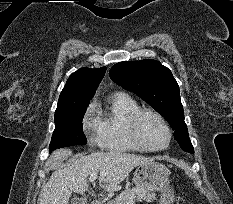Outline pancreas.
I'll return each mask as SVG.
<instances>
[{
	"instance_id": "pancreas-1",
	"label": "pancreas",
	"mask_w": 233,
	"mask_h": 204,
	"mask_svg": "<svg viewBox=\"0 0 233 204\" xmlns=\"http://www.w3.org/2000/svg\"><path fill=\"white\" fill-rule=\"evenodd\" d=\"M156 199V195L147 189L134 187L132 189L127 188L116 199L109 204H130L134 201H146L148 203Z\"/></svg>"
}]
</instances>
